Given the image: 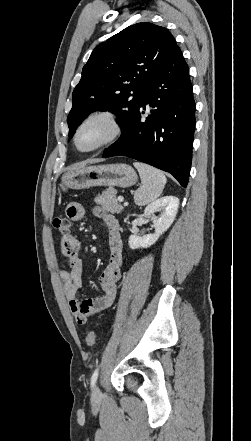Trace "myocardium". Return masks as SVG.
<instances>
[{
  "instance_id": "obj_1",
  "label": "myocardium",
  "mask_w": 251,
  "mask_h": 441,
  "mask_svg": "<svg viewBox=\"0 0 251 441\" xmlns=\"http://www.w3.org/2000/svg\"><path fill=\"white\" fill-rule=\"evenodd\" d=\"M95 120H102V121L106 122L109 126V133L97 145H95L91 148H88V149H82V148H80V146L78 144L79 134H80L81 130L87 124H89L90 122L95 121ZM122 132H123V128H122L121 122L119 120V117L117 116L116 113H114L110 110L93 111V112L89 113L80 122V124L76 128L75 133H74V138H73L74 145L77 148V150L82 153H92V152L98 151L102 148H105V147L111 145L112 143H114L115 141H117L120 138V136L122 135Z\"/></svg>"
}]
</instances>
